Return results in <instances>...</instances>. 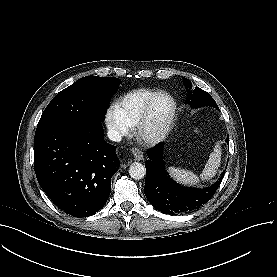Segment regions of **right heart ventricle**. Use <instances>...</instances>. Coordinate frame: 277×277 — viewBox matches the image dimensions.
I'll use <instances>...</instances> for the list:
<instances>
[{
	"label": "right heart ventricle",
	"instance_id": "1",
	"mask_svg": "<svg viewBox=\"0 0 277 277\" xmlns=\"http://www.w3.org/2000/svg\"><path fill=\"white\" fill-rule=\"evenodd\" d=\"M153 94L154 92L151 90L138 89L128 93L116 102L115 107L129 127L138 123L149 98Z\"/></svg>",
	"mask_w": 277,
	"mask_h": 277
}]
</instances>
